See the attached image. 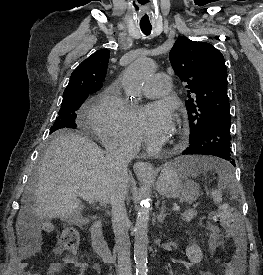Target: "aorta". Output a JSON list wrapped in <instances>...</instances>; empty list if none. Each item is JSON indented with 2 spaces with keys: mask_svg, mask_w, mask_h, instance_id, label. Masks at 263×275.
Wrapping results in <instances>:
<instances>
[{
  "mask_svg": "<svg viewBox=\"0 0 263 275\" xmlns=\"http://www.w3.org/2000/svg\"><path fill=\"white\" fill-rule=\"evenodd\" d=\"M156 65L149 58H140L131 63L123 73L122 85L125 95L131 99L140 97L146 79L153 73ZM148 199L138 209L135 223L134 261L136 264V275L147 274L148 257V221H149Z\"/></svg>",
  "mask_w": 263,
  "mask_h": 275,
  "instance_id": "762f6f07",
  "label": "aorta"
}]
</instances>
